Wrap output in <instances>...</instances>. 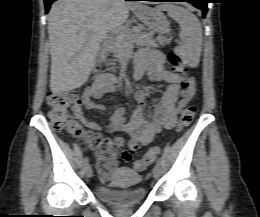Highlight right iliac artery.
<instances>
[{
	"label": "right iliac artery",
	"mask_w": 260,
	"mask_h": 217,
	"mask_svg": "<svg viewBox=\"0 0 260 217\" xmlns=\"http://www.w3.org/2000/svg\"><path fill=\"white\" fill-rule=\"evenodd\" d=\"M84 165H85V166L88 165V158H87V157L84 159Z\"/></svg>",
	"instance_id": "82829eb1"
}]
</instances>
